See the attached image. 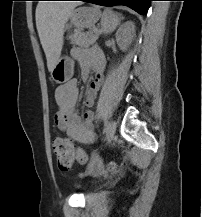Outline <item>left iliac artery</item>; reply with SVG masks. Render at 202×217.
<instances>
[{
	"instance_id": "obj_1",
	"label": "left iliac artery",
	"mask_w": 202,
	"mask_h": 217,
	"mask_svg": "<svg viewBox=\"0 0 202 217\" xmlns=\"http://www.w3.org/2000/svg\"><path fill=\"white\" fill-rule=\"evenodd\" d=\"M102 131H103V134H104V133H105V127L103 128V130H102Z\"/></svg>"
}]
</instances>
